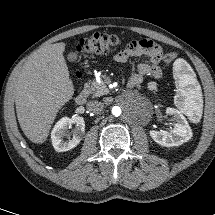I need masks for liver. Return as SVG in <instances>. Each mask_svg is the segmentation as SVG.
Listing matches in <instances>:
<instances>
[{
    "instance_id": "1",
    "label": "liver",
    "mask_w": 215,
    "mask_h": 215,
    "mask_svg": "<svg viewBox=\"0 0 215 215\" xmlns=\"http://www.w3.org/2000/svg\"><path fill=\"white\" fill-rule=\"evenodd\" d=\"M64 50L63 42L38 49L13 78L20 127L37 144L47 140L57 113L74 95Z\"/></svg>"
}]
</instances>
